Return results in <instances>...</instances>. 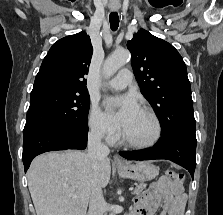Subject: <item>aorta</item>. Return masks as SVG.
I'll return each mask as SVG.
<instances>
[{
  "label": "aorta",
  "mask_w": 223,
  "mask_h": 215,
  "mask_svg": "<svg viewBox=\"0 0 223 215\" xmlns=\"http://www.w3.org/2000/svg\"><path fill=\"white\" fill-rule=\"evenodd\" d=\"M130 58L131 54L128 50H115L111 56L106 58L102 66V76L108 80V78L116 74L117 70L128 64ZM109 215H115V213H109Z\"/></svg>",
  "instance_id": "1"
}]
</instances>
